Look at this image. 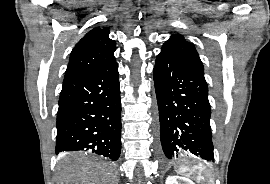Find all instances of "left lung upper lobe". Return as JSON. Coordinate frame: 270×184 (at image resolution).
<instances>
[{
  "mask_svg": "<svg viewBox=\"0 0 270 184\" xmlns=\"http://www.w3.org/2000/svg\"><path fill=\"white\" fill-rule=\"evenodd\" d=\"M161 53L173 56L189 65L194 71L204 77L203 64L194 46L182 35L173 34L161 49Z\"/></svg>",
  "mask_w": 270,
  "mask_h": 184,
  "instance_id": "obj_1",
  "label": "left lung upper lobe"
}]
</instances>
